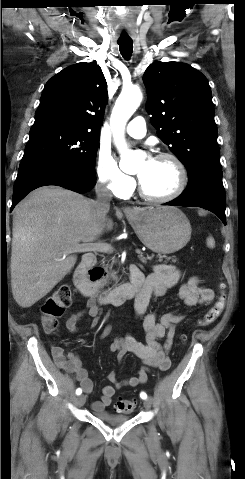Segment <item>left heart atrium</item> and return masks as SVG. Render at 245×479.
Returning <instances> with one entry per match:
<instances>
[{
  "mask_svg": "<svg viewBox=\"0 0 245 479\" xmlns=\"http://www.w3.org/2000/svg\"><path fill=\"white\" fill-rule=\"evenodd\" d=\"M152 161H153V158H149V159L147 160L148 163H150V162H152Z\"/></svg>",
  "mask_w": 245,
  "mask_h": 479,
  "instance_id": "39dd6f15",
  "label": "left heart atrium"
}]
</instances>
